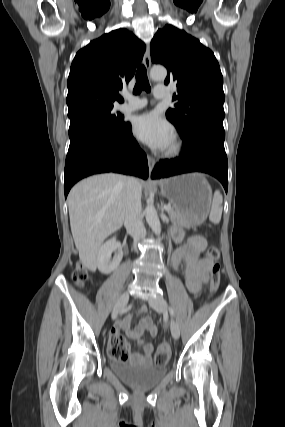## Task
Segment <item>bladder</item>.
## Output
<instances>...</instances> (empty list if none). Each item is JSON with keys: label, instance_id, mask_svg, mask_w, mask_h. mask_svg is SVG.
<instances>
[{"label": "bladder", "instance_id": "obj_1", "mask_svg": "<svg viewBox=\"0 0 285 427\" xmlns=\"http://www.w3.org/2000/svg\"><path fill=\"white\" fill-rule=\"evenodd\" d=\"M112 369L123 382L140 390L157 386L167 373L166 367L120 362H113Z\"/></svg>", "mask_w": 285, "mask_h": 427}]
</instances>
